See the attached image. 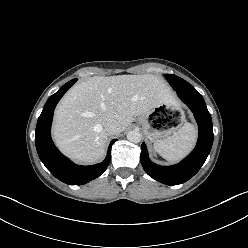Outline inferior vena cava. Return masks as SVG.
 Wrapping results in <instances>:
<instances>
[{
    "instance_id": "inferior-vena-cava-1",
    "label": "inferior vena cava",
    "mask_w": 248,
    "mask_h": 248,
    "mask_svg": "<svg viewBox=\"0 0 248 248\" xmlns=\"http://www.w3.org/2000/svg\"><path fill=\"white\" fill-rule=\"evenodd\" d=\"M104 130L108 135H115L120 133L119 125L115 120H110L109 122H107Z\"/></svg>"
}]
</instances>
